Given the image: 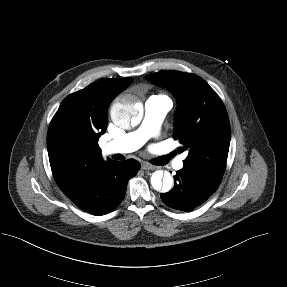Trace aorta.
Segmentation results:
<instances>
[{"mask_svg":"<svg viewBox=\"0 0 287 287\" xmlns=\"http://www.w3.org/2000/svg\"><path fill=\"white\" fill-rule=\"evenodd\" d=\"M110 115L113 123L121 128L136 126L141 120V107L137 98L127 96L112 105ZM150 181L156 191L162 192L170 191L174 183L171 174L162 170L155 171Z\"/></svg>","mask_w":287,"mask_h":287,"instance_id":"762f6f07","label":"aorta"}]
</instances>
